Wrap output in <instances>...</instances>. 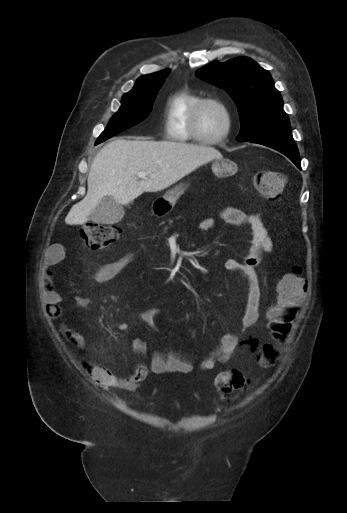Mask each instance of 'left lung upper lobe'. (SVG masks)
Returning a JSON list of instances; mask_svg holds the SVG:
<instances>
[{
	"instance_id": "5c2ea615",
	"label": "left lung upper lobe",
	"mask_w": 347,
	"mask_h": 513,
	"mask_svg": "<svg viewBox=\"0 0 347 513\" xmlns=\"http://www.w3.org/2000/svg\"><path fill=\"white\" fill-rule=\"evenodd\" d=\"M196 75L226 90L236 103L241 121L237 141L248 142L272 132L290 130L271 75L252 59L238 57L224 63L213 62Z\"/></svg>"
}]
</instances>
